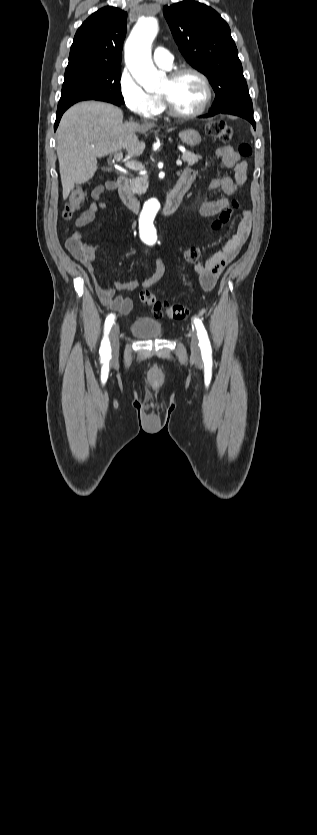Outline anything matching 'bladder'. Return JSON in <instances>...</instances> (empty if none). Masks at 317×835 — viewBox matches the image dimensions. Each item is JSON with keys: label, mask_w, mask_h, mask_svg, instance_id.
Wrapping results in <instances>:
<instances>
[{"label": "bladder", "mask_w": 317, "mask_h": 835, "mask_svg": "<svg viewBox=\"0 0 317 835\" xmlns=\"http://www.w3.org/2000/svg\"><path fill=\"white\" fill-rule=\"evenodd\" d=\"M131 332L139 338H159L163 333V328L159 321L151 317H139L133 322Z\"/></svg>", "instance_id": "bladder-1"}]
</instances>
